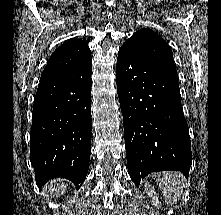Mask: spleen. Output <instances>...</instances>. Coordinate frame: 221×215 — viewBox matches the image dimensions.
Wrapping results in <instances>:
<instances>
[{"mask_svg": "<svg viewBox=\"0 0 221 215\" xmlns=\"http://www.w3.org/2000/svg\"><path fill=\"white\" fill-rule=\"evenodd\" d=\"M157 183L168 205L177 203L184 196V188L187 186L183 174L173 171L158 174Z\"/></svg>", "mask_w": 221, "mask_h": 215, "instance_id": "3e777b00", "label": "spleen"}]
</instances>
